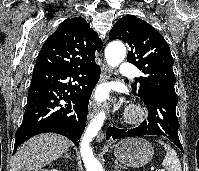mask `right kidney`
<instances>
[{"mask_svg": "<svg viewBox=\"0 0 199 171\" xmlns=\"http://www.w3.org/2000/svg\"><path fill=\"white\" fill-rule=\"evenodd\" d=\"M42 171H58V170H56V169H53V170H42Z\"/></svg>", "mask_w": 199, "mask_h": 171, "instance_id": "obj_1", "label": "right kidney"}]
</instances>
